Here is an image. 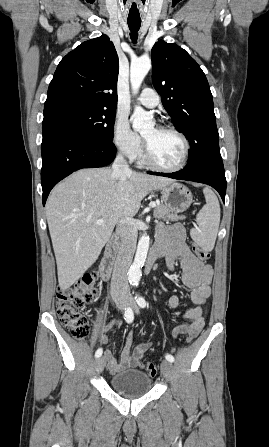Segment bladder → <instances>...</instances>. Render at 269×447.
<instances>
[{
    "label": "bladder",
    "mask_w": 269,
    "mask_h": 447,
    "mask_svg": "<svg viewBox=\"0 0 269 447\" xmlns=\"http://www.w3.org/2000/svg\"><path fill=\"white\" fill-rule=\"evenodd\" d=\"M110 382L112 391L129 398H140L153 387V377L139 370H123L111 376Z\"/></svg>",
    "instance_id": "obj_1"
}]
</instances>
